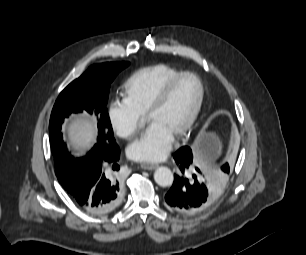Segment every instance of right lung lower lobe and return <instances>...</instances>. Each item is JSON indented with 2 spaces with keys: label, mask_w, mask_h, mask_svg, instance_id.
Instances as JSON below:
<instances>
[{
  "label": "right lung lower lobe",
  "mask_w": 306,
  "mask_h": 255,
  "mask_svg": "<svg viewBox=\"0 0 306 255\" xmlns=\"http://www.w3.org/2000/svg\"><path fill=\"white\" fill-rule=\"evenodd\" d=\"M119 156L120 149L117 146L111 155L73 162L71 179L65 190L85 211L102 215L111 212L119 204L122 180L117 173L111 176L106 171V163L116 164Z\"/></svg>",
  "instance_id": "right-lung-lower-lobe-1"
}]
</instances>
